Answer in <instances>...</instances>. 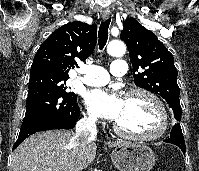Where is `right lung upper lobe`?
I'll list each match as a JSON object with an SVG mask.
<instances>
[{
    "label": "right lung upper lobe",
    "mask_w": 199,
    "mask_h": 171,
    "mask_svg": "<svg viewBox=\"0 0 199 171\" xmlns=\"http://www.w3.org/2000/svg\"><path fill=\"white\" fill-rule=\"evenodd\" d=\"M96 25L80 21L68 23L54 31L35 54L30 76L49 74L69 78L68 72L85 61L94 51L97 39Z\"/></svg>",
    "instance_id": "cb5924a9"
}]
</instances>
